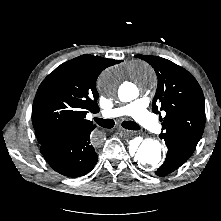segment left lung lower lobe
Segmentation results:
<instances>
[{"label":"left lung lower lobe","instance_id":"left-lung-lower-lobe-1","mask_svg":"<svg viewBox=\"0 0 221 221\" xmlns=\"http://www.w3.org/2000/svg\"><path fill=\"white\" fill-rule=\"evenodd\" d=\"M164 141L168 152L162 166L155 171L158 176H166L178 169L192 155L195 149L194 146L178 140L167 138Z\"/></svg>","mask_w":221,"mask_h":221}]
</instances>
